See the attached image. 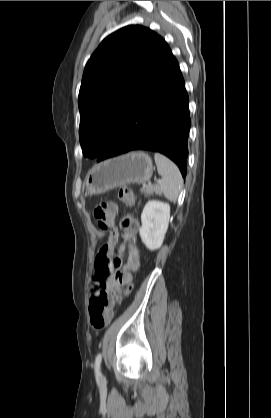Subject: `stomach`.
Returning <instances> with one entry per match:
<instances>
[{"mask_svg": "<svg viewBox=\"0 0 271 418\" xmlns=\"http://www.w3.org/2000/svg\"><path fill=\"white\" fill-rule=\"evenodd\" d=\"M153 162L144 152H131L95 165L86 177V190L99 195L126 184H143L150 180Z\"/></svg>", "mask_w": 271, "mask_h": 418, "instance_id": "stomach-1", "label": "stomach"}]
</instances>
